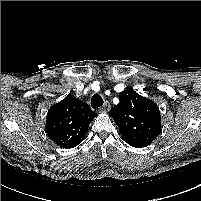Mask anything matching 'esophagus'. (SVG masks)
<instances>
[{
	"label": "esophagus",
	"mask_w": 201,
	"mask_h": 201,
	"mask_svg": "<svg viewBox=\"0 0 201 201\" xmlns=\"http://www.w3.org/2000/svg\"><path fill=\"white\" fill-rule=\"evenodd\" d=\"M111 108L109 102H105L104 105L99 109L101 112H108Z\"/></svg>",
	"instance_id": "1"
}]
</instances>
